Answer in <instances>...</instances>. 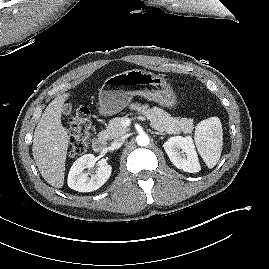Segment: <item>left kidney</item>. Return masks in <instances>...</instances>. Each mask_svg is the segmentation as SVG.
<instances>
[{
	"label": "left kidney",
	"instance_id": "left-kidney-1",
	"mask_svg": "<svg viewBox=\"0 0 269 269\" xmlns=\"http://www.w3.org/2000/svg\"><path fill=\"white\" fill-rule=\"evenodd\" d=\"M170 161L178 169L188 173L200 171V164L193 140L190 136H174L168 139L163 145Z\"/></svg>",
	"mask_w": 269,
	"mask_h": 269
}]
</instances>
